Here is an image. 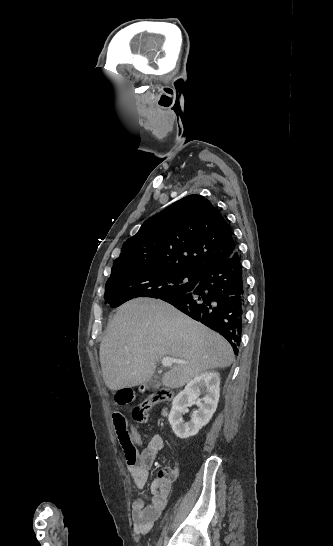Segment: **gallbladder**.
<instances>
[{
  "label": "gallbladder",
  "instance_id": "gallbladder-1",
  "mask_svg": "<svg viewBox=\"0 0 333 546\" xmlns=\"http://www.w3.org/2000/svg\"><path fill=\"white\" fill-rule=\"evenodd\" d=\"M148 390H157L160 387L159 379L153 378L147 382L146 385Z\"/></svg>",
  "mask_w": 333,
  "mask_h": 546
}]
</instances>
